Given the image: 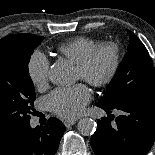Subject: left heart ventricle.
Here are the masks:
<instances>
[{
  "mask_svg": "<svg viewBox=\"0 0 155 155\" xmlns=\"http://www.w3.org/2000/svg\"><path fill=\"white\" fill-rule=\"evenodd\" d=\"M110 61H111L110 54L108 52H104L103 54H101L95 64L93 75L95 77H100L104 75L109 68ZM77 76L78 78H81V73L78 70V68H77Z\"/></svg>",
  "mask_w": 155,
  "mask_h": 155,
  "instance_id": "left-heart-ventricle-1",
  "label": "left heart ventricle"
}]
</instances>
